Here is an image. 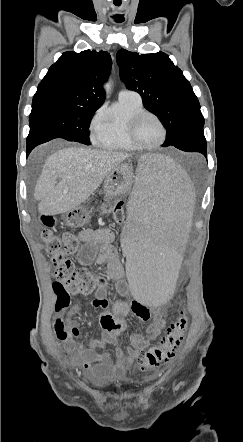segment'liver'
I'll return each mask as SVG.
<instances>
[{
	"mask_svg": "<svg viewBox=\"0 0 243 442\" xmlns=\"http://www.w3.org/2000/svg\"><path fill=\"white\" fill-rule=\"evenodd\" d=\"M129 157L127 153L86 147L56 151L47 158L35 188L40 214L57 215L76 208Z\"/></svg>",
	"mask_w": 243,
	"mask_h": 442,
	"instance_id": "6515ba94",
	"label": "liver"
}]
</instances>
